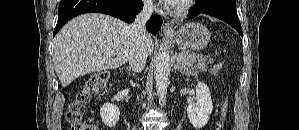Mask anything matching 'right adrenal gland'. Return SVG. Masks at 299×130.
<instances>
[{"label":"right adrenal gland","instance_id":"obj_1","mask_svg":"<svg viewBox=\"0 0 299 130\" xmlns=\"http://www.w3.org/2000/svg\"><path fill=\"white\" fill-rule=\"evenodd\" d=\"M126 70L128 73H131V71H132L131 67H126Z\"/></svg>","mask_w":299,"mask_h":130}]
</instances>
